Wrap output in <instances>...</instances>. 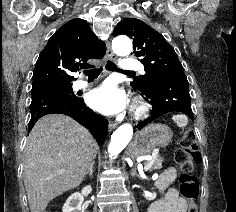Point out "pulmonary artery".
Instances as JSON below:
<instances>
[{
    "instance_id": "e3ab8cb5",
    "label": "pulmonary artery",
    "mask_w": 236,
    "mask_h": 212,
    "mask_svg": "<svg viewBox=\"0 0 236 212\" xmlns=\"http://www.w3.org/2000/svg\"><path fill=\"white\" fill-rule=\"evenodd\" d=\"M119 67H120L121 70H126V71H129V70H142L141 64L137 60H134V59H123V60H121V62L119 64ZM87 86H88V82L83 81V80H79V81L75 82V84H74V88L77 89V90L78 89H83Z\"/></svg>"
}]
</instances>
